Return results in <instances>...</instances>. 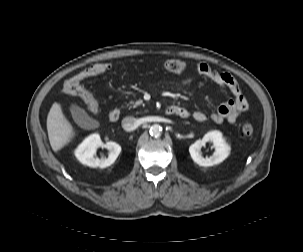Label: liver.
Listing matches in <instances>:
<instances>
[{
    "label": "liver",
    "instance_id": "6515ba94",
    "mask_svg": "<svg viewBox=\"0 0 303 252\" xmlns=\"http://www.w3.org/2000/svg\"><path fill=\"white\" fill-rule=\"evenodd\" d=\"M47 131L50 145L57 152L76 135L71 123L64 116L61 105L53 104L47 117Z\"/></svg>",
    "mask_w": 303,
    "mask_h": 252
}]
</instances>
